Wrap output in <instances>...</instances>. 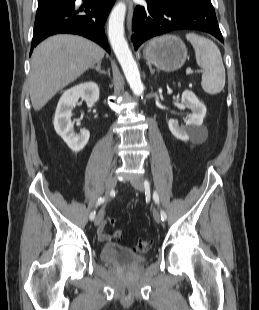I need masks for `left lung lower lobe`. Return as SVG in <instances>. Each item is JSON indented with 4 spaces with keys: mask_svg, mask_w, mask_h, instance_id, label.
Returning <instances> with one entry per match:
<instances>
[{
    "mask_svg": "<svg viewBox=\"0 0 259 310\" xmlns=\"http://www.w3.org/2000/svg\"><path fill=\"white\" fill-rule=\"evenodd\" d=\"M148 7L137 6L133 17L134 48L144 41L172 30L194 29L212 34L223 42L211 0H147Z\"/></svg>",
    "mask_w": 259,
    "mask_h": 310,
    "instance_id": "1",
    "label": "left lung lower lobe"
}]
</instances>
